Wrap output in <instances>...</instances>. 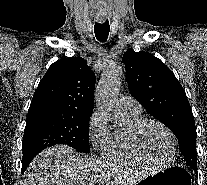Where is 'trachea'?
Here are the masks:
<instances>
[{
	"label": "trachea",
	"instance_id": "obj_1",
	"mask_svg": "<svg viewBox=\"0 0 207 185\" xmlns=\"http://www.w3.org/2000/svg\"><path fill=\"white\" fill-rule=\"evenodd\" d=\"M94 33L96 35V38L100 42H105L107 40V37L109 35V22L108 20L105 21V23H96L94 27Z\"/></svg>",
	"mask_w": 207,
	"mask_h": 185
}]
</instances>
